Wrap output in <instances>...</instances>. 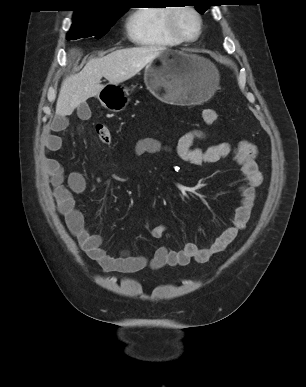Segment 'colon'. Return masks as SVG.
Masks as SVG:
<instances>
[{"mask_svg": "<svg viewBox=\"0 0 306 387\" xmlns=\"http://www.w3.org/2000/svg\"><path fill=\"white\" fill-rule=\"evenodd\" d=\"M203 119L207 124H214L218 121L219 115L213 109H205L202 113ZM96 133L99 140L103 144H110L112 141V135L109 128L105 125L99 124L96 126Z\"/></svg>", "mask_w": 306, "mask_h": 387, "instance_id": "obj_1", "label": "colon"}]
</instances>
